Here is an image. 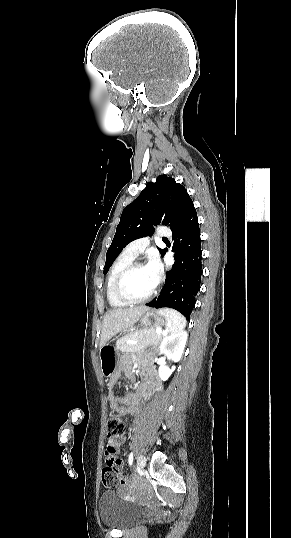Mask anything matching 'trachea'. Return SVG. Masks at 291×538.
Listing matches in <instances>:
<instances>
[{
  "label": "trachea",
  "instance_id": "3493384b",
  "mask_svg": "<svg viewBox=\"0 0 291 538\" xmlns=\"http://www.w3.org/2000/svg\"><path fill=\"white\" fill-rule=\"evenodd\" d=\"M163 240H164V241H168V239H167V238H164Z\"/></svg>",
  "mask_w": 291,
  "mask_h": 538
}]
</instances>
